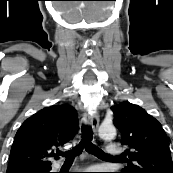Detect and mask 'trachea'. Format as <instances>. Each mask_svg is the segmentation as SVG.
I'll list each match as a JSON object with an SVG mask.
<instances>
[{"mask_svg":"<svg viewBox=\"0 0 173 173\" xmlns=\"http://www.w3.org/2000/svg\"><path fill=\"white\" fill-rule=\"evenodd\" d=\"M92 138H93L92 128L90 126L83 125L82 126V139L79 142V144L76 147H74L72 150H69L66 152H58V155L65 157L66 161H72L76 156L81 154V152L85 148V150L88 153H91L97 157L115 158L113 156L106 154L100 148L94 146L92 144Z\"/></svg>","mask_w":173,"mask_h":173,"instance_id":"1","label":"trachea"}]
</instances>
